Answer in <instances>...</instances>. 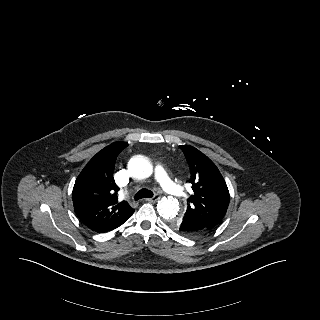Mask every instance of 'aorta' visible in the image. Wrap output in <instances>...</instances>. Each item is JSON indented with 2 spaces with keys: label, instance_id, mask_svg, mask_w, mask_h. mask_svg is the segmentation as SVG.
<instances>
[{
  "label": "aorta",
  "instance_id": "762f6f07",
  "mask_svg": "<svg viewBox=\"0 0 320 320\" xmlns=\"http://www.w3.org/2000/svg\"><path fill=\"white\" fill-rule=\"evenodd\" d=\"M128 169L137 179L149 178L153 173L152 163L142 155L133 156L128 162ZM157 211L162 218L174 221L179 211V202L174 197H164L158 202Z\"/></svg>",
  "mask_w": 320,
  "mask_h": 320
}]
</instances>
